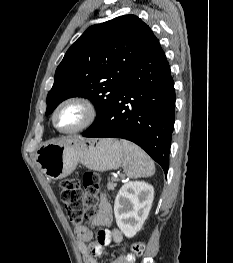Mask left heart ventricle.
<instances>
[{
    "label": "left heart ventricle",
    "instance_id": "b2bd125f",
    "mask_svg": "<svg viewBox=\"0 0 233 263\" xmlns=\"http://www.w3.org/2000/svg\"><path fill=\"white\" fill-rule=\"evenodd\" d=\"M85 116V110L81 106L69 104L60 109L56 121L60 129L71 130L79 126Z\"/></svg>",
    "mask_w": 233,
    "mask_h": 263
}]
</instances>
